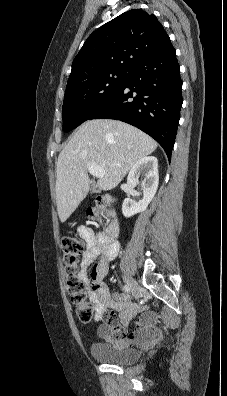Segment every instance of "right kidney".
Returning <instances> with one entry per match:
<instances>
[{"label":"right kidney","mask_w":227,"mask_h":396,"mask_svg":"<svg viewBox=\"0 0 227 396\" xmlns=\"http://www.w3.org/2000/svg\"><path fill=\"white\" fill-rule=\"evenodd\" d=\"M145 175L144 180L141 182L143 198L136 202L131 198H125L122 204V213L126 218H129L136 213L146 210L149 203L154 198L158 183V160L154 156H146L139 159L130 169L127 177L128 187L134 188L139 183V175Z\"/></svg>","instance_id":"ca27d5eb"}]
</instances>
